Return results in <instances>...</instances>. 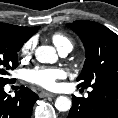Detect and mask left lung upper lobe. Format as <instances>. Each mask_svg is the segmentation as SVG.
<instances>
[{
	"label": "left lung upper lobe",
	"instance_id": "left-lung-upper-lobe-1",
	"mask_svg": "<svg viewBox=\"0 0 118 118\" xmlns=\"http://www.w3.org/2000/svg\"><path fill=\"white\" fill-rule=\"evenodd\" d=\"M71 29L81 38L86 53L78 87L118 88V35L87 20L74 21Z\"/></svg>",
	"mask_w": 118,
	"mask_h": 118
}]
</instances>
